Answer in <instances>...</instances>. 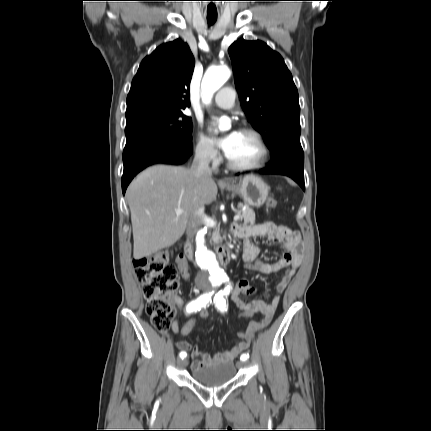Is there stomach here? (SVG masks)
Returning <instances> with one entry per match:
<instances>
[{"instance_id":"0dacf381","label":"stomach","mask_w":431,"mask_h":431,"mask_svg":"<svg viewBox=\"0 0 431 431\" xmlns=\"http://www.w3.org/2000/svg\"><path fill=\"white\" fill-rule=\"evenodd\" d=\"M237 193L248 206L260 207L267 199L269 188L256 176H246L242 180L233 181L223 186Z\"/></svg>"}]
</instances>
